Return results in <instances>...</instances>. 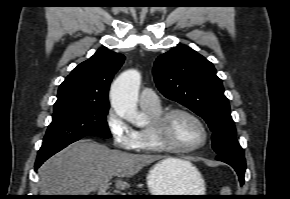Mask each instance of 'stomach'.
<instances>
[{
  "instance_id": "obj_1",
  "label": "stomach",
  "mask_w": 290,
  "mask_h": 199,
  "mask_svg": "<svg viewBox=\"0 0 290 199\" xmlns=\"http://www.w3.org/2000/svg\"><path fill=\"white\" fill-rule=\"evenodd\" d=\"M147 186L151 195H205V182L194 167L173 169L159 161L147 173ZM159 198L195 199L197 196Z\"/></svg>"
}]
</instances>
